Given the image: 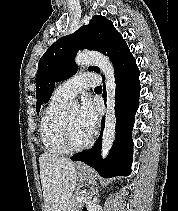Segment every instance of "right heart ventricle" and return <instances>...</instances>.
I'll return each instance as SVG.
<instances>
[{"label":"right heart ventricle","mask_w":178,"mask_h":211,"mask_svg":"<svg viewBox=\"0 0 178 211\" xmlns=\"http://www.w3.org/2000/svg\"><path fill=\"white\" fill-rule=\"evenodd\" d=\"M67 101L53 94L40 123V136L45 149L56 155L69 152L62 143L63 107Z\"/></svg>","instance_id":"right-heart-ventricle-1"}]
</instances>
